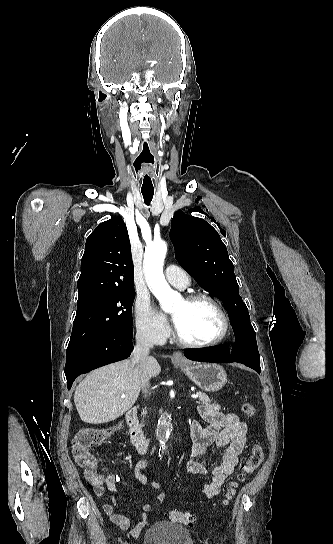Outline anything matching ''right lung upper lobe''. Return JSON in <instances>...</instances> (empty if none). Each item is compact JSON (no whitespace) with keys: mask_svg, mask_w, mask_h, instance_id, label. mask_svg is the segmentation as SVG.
<instances>
[{"mask_svg":"<svg viewBox=\"0 0 333 544\" xmlns=\"http://www.w3.org/2000/svg\"><path fill=\"white\" fill-rule=\"evenodd\" d=\"M77 284L78 301L116 290H134L130 241L121 218L99 224L89 235Z\"/></svg>","mask_w":333,"mask_h":544,"instance_id":"obj_1","label":"right lung upper lobe"}]
</instances>
